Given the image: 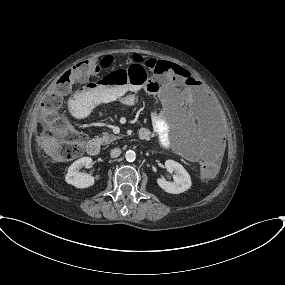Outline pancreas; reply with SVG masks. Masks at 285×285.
<instances>
[{
    "instance_id": "cf45deb5",
    "label": "pancreas",
    "mask_w": 285,
    "mask_h": 285,
    "mask_svg": "<svg viewBox=\"0 0 285 285\" xmlns=\"http://www.w3.org/2000/svg\"><path fill=\"white\" fill-rule=\"evenodd\" d=\"M119 138H120V136H116V135L110 134L108 132H103L100 140L103 144L108 145V144L112 143L113 141H115Z\"/></svg>"
}]
</instances>
